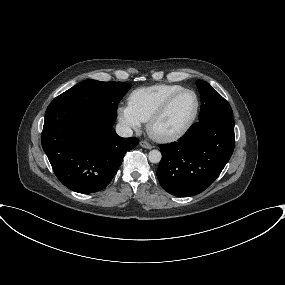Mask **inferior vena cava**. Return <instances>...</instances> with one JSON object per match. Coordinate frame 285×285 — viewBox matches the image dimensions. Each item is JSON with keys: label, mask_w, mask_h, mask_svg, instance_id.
I'll list each match as a JSON object with an SVG mask.
<instances>
[{"label": "inferior vena cava", "mask_w": 285, "mask_h": 285, "mask_svg": "<svg viewBox=\"0 0 285 285\" xmlns=\"http://www.w3.org/2000/svg\"><path fill=\"white\" fill-rule=\"evenodd\" d=\"M116 133L121 137H131L133 135L132 129L124 124L116 125Z\"/></svg>", "instance_id": "1"}]
</instances>
